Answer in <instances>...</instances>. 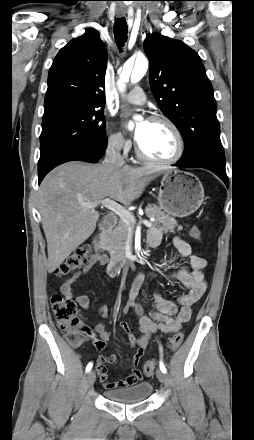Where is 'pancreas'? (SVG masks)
Listing matches in <instances>:
<instances>
[{"instance_id": "1", "label": "pancreas", "mask_w": 254, "mask_h": 440, "mask_svg": "<svg viewBox=\"0 0 254 440\" xmlns=\"http://www.w3.org/2000/svg\"><path fill=\"white\" fill-rule=\"evenodd\" d=\"M145 214L147 217H153V226L164 233H175L176 227L177 231L182 230L175 218L162 211L157 205H147ZM133 227L134 225H127L120 219L117 226L102 237L101 244L110 253L112 259L123 257L125 244L132 233Z\"/></svg>"}]
</instances>
